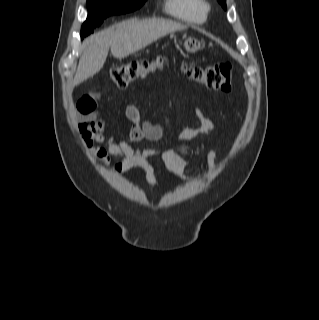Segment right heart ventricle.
<instances>
[{"mask_svg": "<svg viewBox=\"0 0 319 320\" xmlns=\"http://www.w3.org/2000/svg\"><path fill=\"white\" fill-rule=\"evenodd\" d=\"M164 10L174 18L203 23L209 12V4L207 0H166Z\"/></svg>", "mask_w": 319, "mask_h": 320, "instance_id": "1", "label": "right heart ventricle"}]
</instances>
